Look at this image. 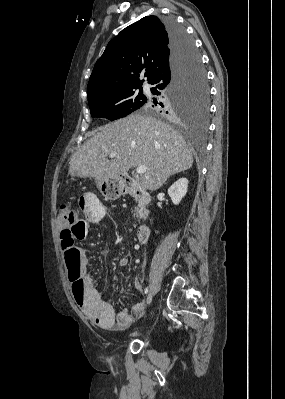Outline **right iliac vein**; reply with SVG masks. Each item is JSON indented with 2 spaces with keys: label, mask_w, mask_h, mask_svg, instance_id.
<instances>
[{
  "label": "right iliac vein",
  "mask_w": 285,
  "mask_h": 399,
  "mask_svg": "<svg viewBox=\"0 0 285 399\" xmlns=\"http://www.w3.org/2000/svg\"><path fill=\"white\" fill-rule=\"evenodd\" d=\"M153 298H154V293H153V291L151 290V291L149 292L147 298H146V302H145L146 306H148V305L152 302Z\"/></svg>",
  "instance_id": "right-iliac-vein-1"
}]
</instances>
